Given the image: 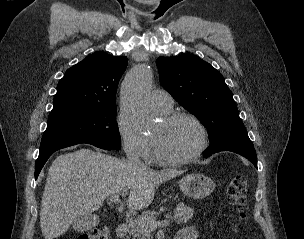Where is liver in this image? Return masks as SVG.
<instances>
[{"label":"liver","instance_id":"1","mask_svg":"<svg viewBox=\"0 0 304 239\" xmlns=\"http://www.w3.org/2000/svg\"><path fill=\"white\" fill-rule=\"evenodd\" d=\"M183 171L134 167L100 151L82 148L58 156L49 168L41 201L40 226L45 239L64 234L73 221L99 210L121 193L131 210L147 208L155 188Z\"/></svg>","mask_w":304,"mask_h":239}]
</instances>
